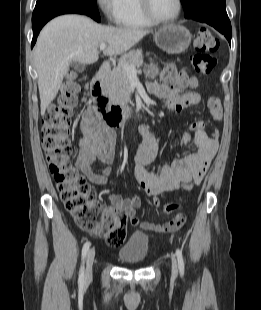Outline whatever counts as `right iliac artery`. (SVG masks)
I'll use <instances>...</instances> for the list:
<instances>
[{"mask_svg": "<svg viewBox=\"0 0 261 310\" xmlns=\"http://www.w3.org/2000/svg\"><path fill=\"white\" fill-rule=\"evenodd\" d=\"M91 243L89 241H87L83 248H82V265H81V268H80V273H79V279H78V284L80 287H83L84 285V260H85V257L87 255V252L89 250V247H90Z\"/></svg>", "mask_w": 261, "mask_h": 310, "instance_id": "82829eb1", "label": "right iliac artery"}]
</instances>
